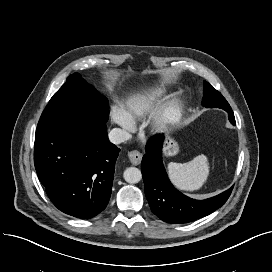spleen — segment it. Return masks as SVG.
I'll return each instance as SVG.
<instances>
[{
  "instance_id": "spleen-1",
  "label": "spleen",
  "mask_w": 272,
  "mask_h": 272,
  "mask_svg": "<svg viewBox=\"0 0 272 272\" xmlns=\"http://www.w3.org/2000/svg\"><path fill=\"white\" fill-rule=\"evenodd\" d=\"M172 184L181 191L200 189L209 176V163L205 155H199L187 163L170 162L167 165Z\"/></svg>"
}]
</instances>
